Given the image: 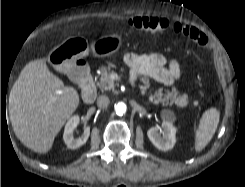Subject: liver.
Returning <instances> with one entry per match:
<instances>
[{
    "mask_svg": "<svg viewBox=\"0 0 245 187\" xmlns=\"http://www.w3.org/2000/svg\"><path fill=\"white\" fill-rule=\"evenodd\" d=\"M79 101L76 89L65 86L52 74L45 59L27 63L9 95V115L16 137L34 152L47 153Z\"/></svg>",
    "mask_w": 245,
    "mask_h": 187,
    "instance_id": "1",
    "label": "liver"
}]
</instances>
